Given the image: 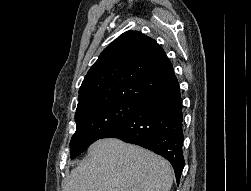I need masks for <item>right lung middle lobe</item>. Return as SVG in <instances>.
<instances>
[{"instance_id":"1","label":"right lung middle lobe","mask_w":251,"mask_h":191,"mask_svg":"<svg viewBox=\"0 0 251 191\" xmlns=\"http://www.w3.org/2000/svg\"><path fill=\"white\" fill-rule=\"evenodd\" d=\"M140 104L114 101L88 107L75 113L76 132L70 142V157L85 151L93 142L132 115Z\"/></svg>"}]
</instances>
